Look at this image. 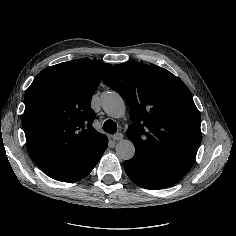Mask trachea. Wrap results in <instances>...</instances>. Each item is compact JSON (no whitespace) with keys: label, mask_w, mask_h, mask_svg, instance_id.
Wrapping results in <instances>:
<instances>
[{"label":"trachea","mask_w":236,"mask_h":236,"mask_svg":"<svg viewBox=\"0 0 236 236\" xmlns=\"http://www.w3.org/2000/svg\"><path fill=\"white\" fill-rule=\"evenodd\" d=\"M103 130L109 134H115L117 131V124L113 120H107L103 124Z\"/></svg>","instance_id":"trachea-1"}]
</instances>
